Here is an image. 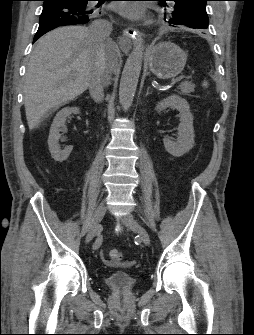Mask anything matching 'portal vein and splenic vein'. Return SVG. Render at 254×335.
<instances>
[{"mask_svg": "<svg viewBox=\"0 0 254 335\" xmlns=\"http://www.w3.org/2000/svg\"><path fill=\"white\" fill-rule=\"evenodd\" d=\"M180 80H181L180 78L172 79V80H171V84H172V85L177 84V83L180 82Z\"/></svg>", "mask_w": 254, "mask_h": 335, "instance_id": "obj_1", "label": "portal vein and splenic vein"}]
</instances>
